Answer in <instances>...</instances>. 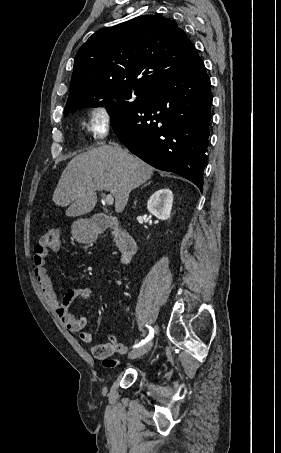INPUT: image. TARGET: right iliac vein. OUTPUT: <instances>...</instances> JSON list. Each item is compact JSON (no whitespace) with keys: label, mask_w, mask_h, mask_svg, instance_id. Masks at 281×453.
I'll return each instance as SVG.
<instances>
[{"label":"right iliac vein","mask_w":281,"mask_h":453,"mask_svg":"<svg viewBox=\"0 0 281 453\" xmlns=\"http://www.w3.org/2000/svg\"><path fill=\"white\" fill-rule=\"evenodd\" d=\"M153 346H154V343L152 341H149L141 348H136V350H134V351H129L130 353L128 354V356L131 359H133V357H135V358L140 357L141 355H145L146 354L145 352H149V350H151Z\"/></svg>","instance_id":"obj_1"}]
</instances>
